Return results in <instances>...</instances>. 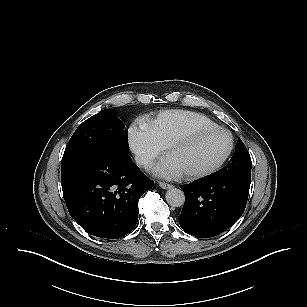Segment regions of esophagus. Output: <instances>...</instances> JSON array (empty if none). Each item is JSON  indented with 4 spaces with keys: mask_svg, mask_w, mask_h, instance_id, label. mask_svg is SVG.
Wrapping results in <instances>:
<instances>
[{
    "mask_svg": "<svg viewBox=\"0 0 307 307\" xmlns=\"http://www.w3.org/2000/svg\"><path fill=\"white\" fill-rule=\"evenodd\" d=\"M159 186H160L162 189H170V188L173 187L171 184H168V183H165V182H159Z\"/></svg>",
    "mask_w": 307,
    "mask_h": 307,
    "instance_id": "obj_1",
    "label": "esophagus"
}]
</instances>
